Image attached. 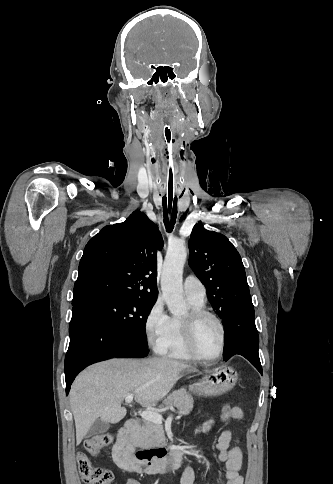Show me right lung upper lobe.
<instances>
[{"mask_svg":"<svg viewBox=\"0 0 333 484\" xmlns=\"http://www.w3.org/2000/svg\"><path fill=\"white\" fill-rule=\"evenodd\" d=\"M162 247L158 227L140 211L104 227L85 246L72 304L91 294L156 299V256Z\"/></svg>","mask_w":333,"mask_h":484,"instance_id":"right-lung-upper-lobe-1","label":"right lung upper lobe"}]
</instances>
